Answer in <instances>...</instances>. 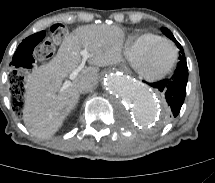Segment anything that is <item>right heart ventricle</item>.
<instances>
[{"instance_id": "1", "label": "right heart ventricle", "mask_w": 215, "mask_h": 183, "mask_svg": "<svg viewBox=\"0 0 215 183\" xmlns=\"http://www.w3.org/2000/svg\"><path fill=\"white\" fill-rule=\"evenodd\" d=\"M162 37L154 33H140L131 35L125 45V55L134 66L139 56L154 42Z\"/></svg>"}]
</instances>
